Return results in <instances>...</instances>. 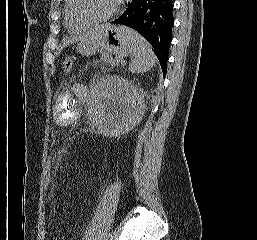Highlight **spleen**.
<instances>
[{"label": "spleen", "instance_id": "obj_1", "mask_svg": "<svg viewBox=\"0 0 257 240\" xmlns=\"http://www.w3.org/2000/svg\"><path fill=\"white\" fill-rule=\"evenodd\" d=\"M122 28L127 33L129 50L132 55L129 70L132 73H144L149 71L157 63L151 45L136 31L126 27Z\"/></svg>", "mask_w": 257, "mask_h": 240}]
</instances>
